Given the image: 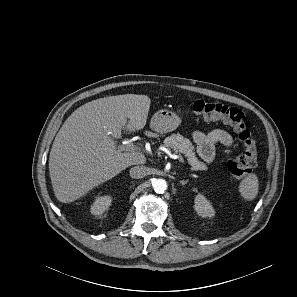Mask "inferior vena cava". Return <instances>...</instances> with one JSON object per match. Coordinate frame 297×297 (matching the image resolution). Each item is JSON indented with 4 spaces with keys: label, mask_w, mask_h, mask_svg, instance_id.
Segmentation results:
<instances>
[{
    "label": "inferior vena cava",
    "mask_w": 297,
    "mask_h": 297,
    "mask_svg": "<svg viewBox=\"0 0 297 297\" xmlns=\"http://www.w3.org/2000/svg\"><path fill=\"white\" fill-rule=\"evenodd\" d=\"M130 176L134 179H140L148 174V168L145 166H134L130 169Z\"/></svg>",
    "instance_id": "inferior-vena-cava-1"
}]
</instances>
